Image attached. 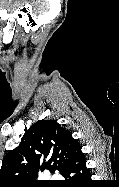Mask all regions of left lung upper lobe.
Masks as SVG:
<instances>
[{"label":"left lung upper lobe","mask_w":119,"mask_h":187,"mask_svg":"<svg viewBox=\"0 0 119 187\" xmlns=\"http://www.w3.org/2000/svg\"><path fill=\"white\" fill-rule=\"evenodd\" d=\"M14 150L3 159L0 169V187L28 186L45 169L63 175L68 167L75 145L79 143L71 132L55 120L34 123Z\"/></svg>","instance_id":"5c2ea615"}]
</instances>
